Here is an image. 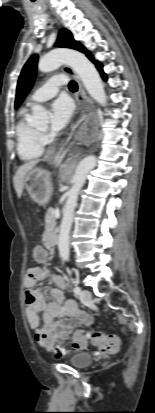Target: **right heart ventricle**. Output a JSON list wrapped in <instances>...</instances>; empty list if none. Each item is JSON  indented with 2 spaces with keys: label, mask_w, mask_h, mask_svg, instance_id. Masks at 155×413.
<instances>
[{
  "label": "right heart ventricle",
  "mask_w": 155,
  "mask_h": 413,
  "mask_svg": "<svg viewBox=\"0 0 155 413\" xmlns=\"http://www.w3.org/2000/svg\"><path fill=\"white\" fill-rule=\"evenodd\" d=\"M17 153L24 161L40 158L44 152L42 135L29 123V112L23 109L16 128Z\"/></svg>",
  "instance_id": "1"
}]
</instances>
